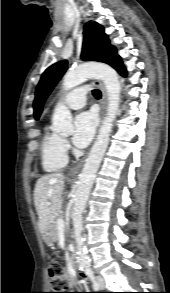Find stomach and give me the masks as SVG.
<instances>
[{
	"instance_id": "1",
	"label": "stomach",
	"mask_w": 170,
	"mask_h": 293,
	"mask_svg": "<svg viewBox=\"0 0 170 293\" xmlns=\"http://www.w3.org/2000/svg\"><path fill=\"white\" fill-rule=\"evenodd\" d=\"M43 238L45 243L49 246L53 245V243L55 242V236L51 232V229H49L47 232L43 234Z\"/></svg>"
}]
</instances>
